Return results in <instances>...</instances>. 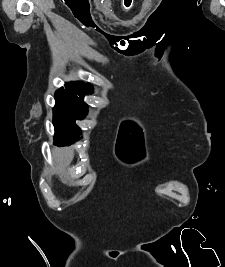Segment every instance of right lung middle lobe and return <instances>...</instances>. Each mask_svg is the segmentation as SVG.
Segmentation results:
<instances>
[{
    "label": "right lung middle lobe",
    "mask_w": 225,
    "mask_h": 267,
    "mask_svg": "<svg viewBox=\"0 0 225 267\" xmlns=\"http://www.w3.org/2000/svg\"><path fill=\"white\" fill-rule=\"evenodd\" d=\"M69 91V90H68ZM81 94L59 89L55 93V107L53 109V124L55 127V143L67 145L78 141L81 134L80 128L75 124L87 114V105Z\"/></svg>",
    "instance_id": "1"
}]
</instances>
